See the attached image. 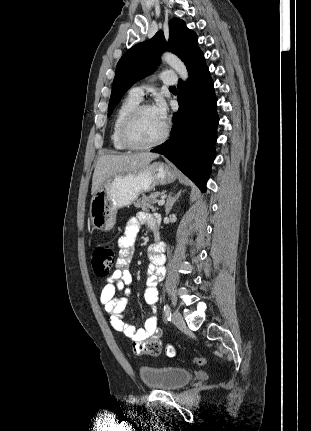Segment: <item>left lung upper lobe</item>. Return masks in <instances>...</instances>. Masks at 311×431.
<instances>
[{
  "instance_id": "left-lung-upper-lobe-1",
  "label": "left lung upper lobe",
  "mask_w": 311,
  "mask_h": 431,
  "mask_svg": "<svg viewBox=\"0 0 311 431\" xmlns=\"http://www.w3.org/2000/svg\"><path fill=\"white\" fill-rule=\"evenodd\" d=\"M197 44V36L186 27L185 22L173 18L169 22L168 43L165 41L163 31H159L152 39L130 48L116 67L108 116L135 82L154 71L163 51L168 50L176 54L188 67L195 55L200 52Z\"/></svg>"
}]
</instances>
